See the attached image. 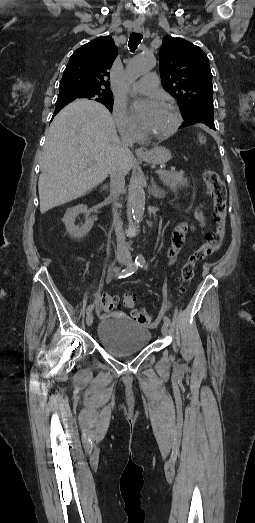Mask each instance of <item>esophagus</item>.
<instances>
[{"instance_id":"obj_1","label":"esophagus","mask_w":255,"mask_h":523,"mask_svg":"<svg viewBox=\"0 0 255 523\" xmlns=\"http://www.w3.org/2000/svg\"><path fill=\"white\" fill-rule=\"evenodd\" d=\"M135 32H141L142 28H134ZM136 155L140 157H144L148 155V148L147 147H140L135 150Z\"/></svg>"}]
</instances>
